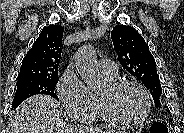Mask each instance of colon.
<instances>
[{"label":"colon","mask_w":184,"mask_h":133,"mask_svg":"<svg viewBox=\"0 0 184 133\" xmlns=\"http://www.w3.org/2000/svg\"><path fill=\"white\" fill-rule=\"evenodd\" d=\"M150 133H168V127L162 122L152 124Z\"/></svg>","instance_id":"1"}]
</instances>
